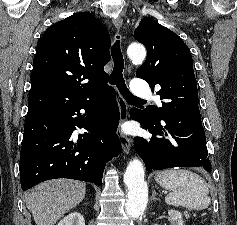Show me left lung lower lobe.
I'll use <instances>...</instances> for the list:
<instances>
[{"label": "left lung lower lobe", "instance_id": "left-lung-lower-lobe-1", "mask_svg": "<svg viewBox=\"0 0 237 225\" xmlns=\"http://www.w3.org/2000/svg\"><path fill=\"white\" fill-rule=\"evenodd\" d=\"M130 114L133 120L139 121L141 127L153 135L150 139H134L135 150L148 172L172 167H203L211 172L198 105L156 120L149 118L144 110L136 108L131 109Z\"/></svg>", "mask_w": 237, "mask_h": 225}]
</instances>
